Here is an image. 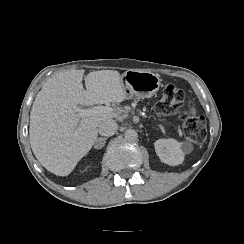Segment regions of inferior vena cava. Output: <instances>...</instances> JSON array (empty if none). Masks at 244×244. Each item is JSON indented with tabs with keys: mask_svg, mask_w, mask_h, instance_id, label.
<instances>
[{
	"mask_svg": "<svg viewBox=\"0 0 244 244\" xmlns=\"http://www.w3.org/2000/svg\"><path fill=\"white\" fill-rule=\"evenodd\" d=\"M118 130V123L114 120H105L99 124L98 132L102 136L114 135Z\"/></svg>",
	"mask_w": 244,
	"mask_h": 244,
	"instance_id": "inferior-vena-cava-1",
	"label": "inferior vena cava"
}]
</instances>
